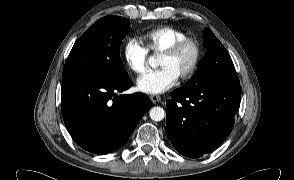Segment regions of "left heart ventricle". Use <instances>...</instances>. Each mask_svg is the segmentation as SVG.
<instances>
[{
  "label": "left heart ventricle",
  "mask_w": 294,
  "mask_h": 180,
  "mask_svg": "<svg viewBox=\"0 0 294 180\" xmlns=\"http://www.w3.org/2000/svg\"><path fill=\"white\" fill-rule=\"evenodd\" d=\"M193 60V49L189 46L183 48L173 57L160 56L159 67L170 69L177 77L187 71Z\"/></svg>",
  "instance_id": "1"
}]
</instances>
